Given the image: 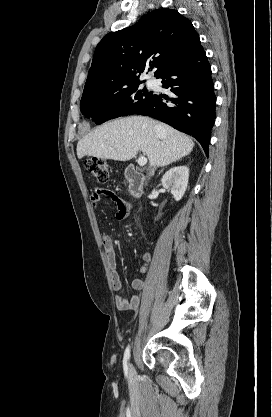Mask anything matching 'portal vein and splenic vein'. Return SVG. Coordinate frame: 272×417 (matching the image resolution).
I'll return each mask as SVG.
<instances>
[{
  "label": "portal vein and splenic vein",
  "mask_w": 272,
  "mask_h": 417,
  "mask_svg": "<svg viewBox=\"0 0 272 417\" xmlns=\"http://www.w3.org/2000/svg\"><path fill=\"white\" fill-rule=\"evenodd\" d=\"M146 163H147V158L145 156L139 157V159H138V165L139 166L143 167V166L146 165Z\"/></svg>",
  "instance_id": "1"
}]
</instances>
